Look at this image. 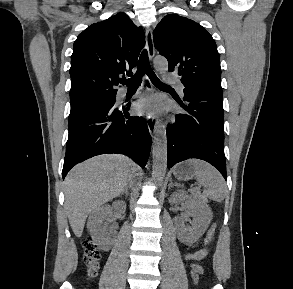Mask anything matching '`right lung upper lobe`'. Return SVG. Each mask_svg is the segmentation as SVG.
<instances>
[{"label":"right lung upper lobe","mask_w":293,"mask_h":289,"mask_svg":"<svg viewBox=\"0 0 293 289\" xmlns=\"http://www.w3.org/2000/svg\"><path fill=\"white\" fill-rule=\"evenodd\" d=\"M145 35L125 13L79 34L71 56L70 102L117 93L120 75H132Z\"/></svg>","instance_id":"cb5924a9"}]
</instances>
